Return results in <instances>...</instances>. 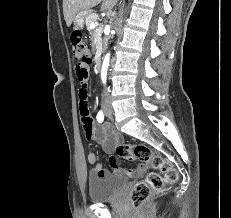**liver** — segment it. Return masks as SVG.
I'll return each instance as SVG.
<instances>
[{"label":"liver","mask_w":231,"mask_h":218,"mask_svg":"<svg viewBox=\"0 0 231 218\" xmlns=\"http://www.w3.org/2000/svg\"><path fill=\"white\" fill-rule=\"evenodd\" d=\"M118 0H63V14L67 27H70L75 15L80 11H91L102 2L101 11L112 9Z\"/></svg>","instance_id":"1"}]
</instances>
